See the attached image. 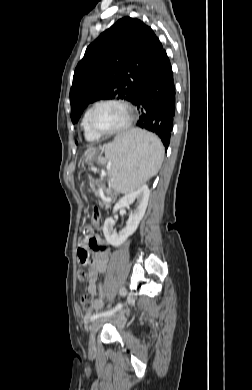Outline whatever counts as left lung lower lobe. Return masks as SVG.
<instances>
[{
    "label": "left lung lower lobe",
    "instance_id": "0a47b994",
    "mask_svg": "<svg viewBox=\"0 0 252 390\" xmlns=\"http://www.w3.org/2000/svg\"><path fill=\"white\" fill-rule=\"evenodd\" d=\"M175 85L164 49L140 80L132 101L140 112L137 126L157 134L167 150L175 116Z\"/></svg>",
    "mask_w": 252,
    "mask_h": 390
}]
</instances>
